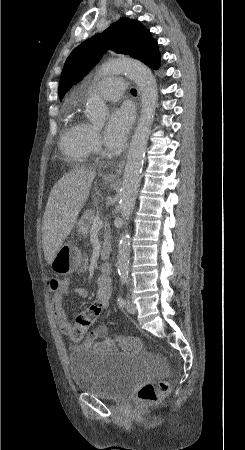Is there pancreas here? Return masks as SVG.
I'll list each match as a JSON object with an SVG mask.
<instances>
[{"label":"pancreas","mask_w":245,"mask_h":450,"mask_svg":"<svg viewBox=\"0 0 245 450\" xmlns=\"http://www.w3.org/2000/svg\"><path fill=\"white\" fill-rule=\"evenodd\" d=\"M95 218V213L93 210H87L79 220L77 224L78 233L81 234L83 237H86L89 234V231L92 226L93 219ZM104 242H103V251L101 253V259L106 260L108 259L111 245H110V233L108 230L104 231L103 234Z\"/></svg>","instance_id":"1"}]
</instances>
